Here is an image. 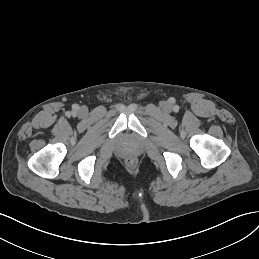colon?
<instances>
[{"instance_id":"obj_1","label":"colon","mask_w":259,"mask_h":259,"mask_svg":"<svg viewBox=\"0 0 259 259\" xmlns=\"http://www.w3.org/2000/svg\"><path fill=\"white\" fill-rule=\"evenodd\" d=\"M136 163V159L134 157H129L127 159V164L133 166Z\"/></svg>"}]
</instances>
